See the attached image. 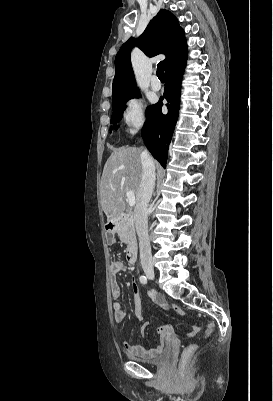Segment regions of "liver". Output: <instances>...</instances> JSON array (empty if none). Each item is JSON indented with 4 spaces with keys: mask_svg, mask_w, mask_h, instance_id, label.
I'll return each instance as SVG.
<instances>
[{
    "mask_svg": "<svg viewBox=\"0 0 273 401\" xmlns=\"http://www.w3.org/2000/svg\"><path fill=\"white\" fill-rule=\"evenodd\" d=\"M141 148L122 146L111 152L103 168L100 182V198L107 221L119 219L125 211L127 190L135 192L142 180Z\"/></svg>",
    "mask_w": 273,
    "mask_h": 401,
    "instance_id": "6515ba94",
    "label": "liver"
}]
</instances>
